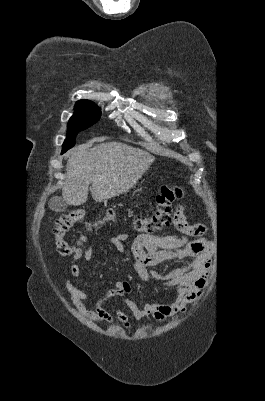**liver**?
Here are the masks:
<instances>
[{
	"instance_id": "obj_1",
	"label": "liver",
	"mask_w": 265,
	"mask_h": 401,
	"mask_svg": "<svg viewBox=\"0 0 265 401\" xmlns=\"http://www.w3.org/2000/svg\"><path fill=\"white\" fill-rule=\"evenodd\" d=\"M93 142L95 138L71 150L62 188L63 201L67 205H84L89 184H92L90 190L96 203H104L108 198L126 192L155 160L147 150L124 142H101L92 146Z\"/></svg>"
}]
</instances>
